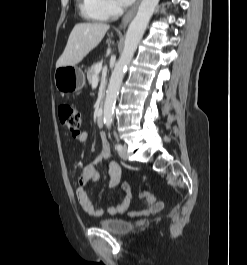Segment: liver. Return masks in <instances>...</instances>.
Here are the masks:
<instances>
[{
	"instance_id": "1",
	"label": "liver",
	"mask_w": 247,
	"mask_h": 265,
	"mask_svg": "<svg viewBox=\"0 0 247 265\" xmlns=\"http://www.w3.org/2000/svg\"><path fill=\"white\" fill-rule=\"evenodd\" d=\"M109 25L105 23H78L72 29L67 45L56 62V68L75 66L103 39Z\"/></svg>"
}]
</instances>
